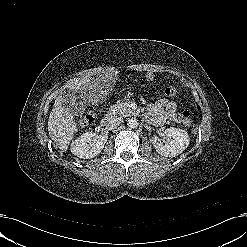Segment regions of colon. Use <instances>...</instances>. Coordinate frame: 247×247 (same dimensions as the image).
<instances>
[{"label":"colon","instance_id":"colon-1","mask_svg":"<svg viewBox=\"0 0 247 247\" xmlns=\"http://www.w3.org/2000/svg\"><path fill=\"white\" fill-rule=\"evenodd\" d=\"M165 95L168 97H174L177 94V88L174 85H168L165 90ZM181 120L184 124L190 125L192 122L191 113L188 110H183L180 113ZM96 118V113L94 111L88 110L84 112L80 118L82 125H88L94 122Z\"/></svg>","mask_w":247,"mask_h":247}]
</instances>
